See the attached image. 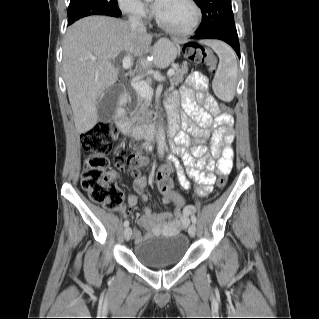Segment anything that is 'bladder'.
Here are the masks:
<instances>
[{
  "label": "bladder",
  "instance_id": "bladder-1",
  "mask_svg": "<svg viewBox=\"0 0 319 319\" xmlns=\"http://www.w3.org/2000/svg\"><path fill=\"white\" fill-rule=\"evenodd\" d=\"M191 249V242L184 234L149 236L134 247L136 259L145 266L163 267L181 262Z\"/></svg>",
  "mask_w": 319,
  "mask_h": 319
}]
</instances>
